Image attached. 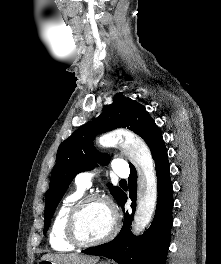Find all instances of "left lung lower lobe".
Segmentation results:
<instances>
[{
  "mask_svg": "<svg viewBox=\"0 0 221 264\" xmlns=\"http://www.w3.org/2000/svg\"><path fill=\"white\" fill-rule=\"evenodd\" d=\"M158 201L153 222L141 236L132 235L130 225L136 207L137 173L131 171L129 176V198L132 212L125 213V220L120 233L109 243L83 250L90 255L104 256L119 264H165L170 245V232L173 223V187L170 179L167 149L162 141L154 154ZM127 195L124 193L119 204L124 208Z\"/></svg>",
  "mask_w": 221,
  "mask_h": 264,
  "instance_id": "0a47b994",
  "label": "left lung lower lobe"
}]
</instances>
